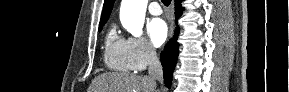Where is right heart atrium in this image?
I'll return each mask as SVG.
<instances>
[{"instance_id":"right-heart-atrium-1","label":"right heart atrium","mask_w":289,"mask_h":92,"mask_svg":"<svg viewBox=\"0 0 289 92\" xmlns=\"http://www.w3.org/2000/svg\"><path fill=\"white\" fill-rule=\"evenodd\" d=\"M127 54L131 68L142 71L156 59V51L143 37H129L126 40Z\"/></svg>"}]
</instances>
